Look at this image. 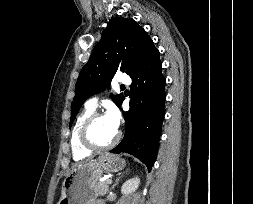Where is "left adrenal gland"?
<instances>
[{
  "instance_id": "left-adrenal-gland-1",
  "label": "left adrenal gland",
  "mask_w": 253,
  "mask_h": 204,
  "mask_svg": "<svg viewBox=\"0 0 253 204\" xmlns=\"http://www.w3.org/2000/svg\"><path fill=\"white\" fill-rule=\"evenodd\" d=\"M122 176H123V173L119 174V177L116 178L115 183L112 185L111 189H113L118 184V182Z\"/></svg>"
}]
</instances>
